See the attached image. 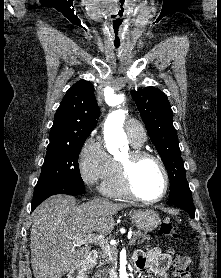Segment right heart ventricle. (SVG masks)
Here are the masks:
<instances>
[{
	"instance_id": "obj_1",
	"label": "right heart ventricle",
	"mask_w": 221,
	"mask_h": 278,
	"mask_svg": "<svg viewBox=\"0 0 221 278\" xmlns=\"http://www.w3.org/2000/svg\"><path fill=\"white\" fill-rule=\"evenodd\" d=\"M143 143L144 142L131 141L133 148H138V149H141ZM102 190L104 191V193L114 198L128 197L127 194L123 191V189L120 186L116 165L114 166L113 170L108 175V177L104 180L102 185Z\"/></svg>"
}]
</instances>
